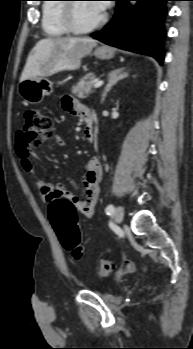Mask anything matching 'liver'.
<instances>
[{"label":"liver","instance_id":"liver-1","mask_svg":"<svg viewBox=\"0 0 193 349\" xmlns=\"http://www.w3.org/2000/svg\"><path fill=\"white\" fill-rule=\"evenodd\" d=\"M97 42L90 38H46L31 50L20 82L32 77H46L64 70H76L81 59L90 54Z\"/></svg>","mask_w":193,"mask_h":349}]
</instances>
